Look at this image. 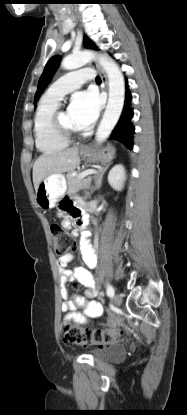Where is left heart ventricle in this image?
I'll return each mask as SVG.
<instances>
[{
	"label": "left heart ventricle",
	"mask_w": 187,
	"mask_h": 415,
	"mask_svg": "<svg viewBox=\"0 0 187 415\" xmlns=\"http://www.w3.org/2000/svg\"><path fill=\"white\" fill-rule=\"evenodd\" d=\"M60 120H61V122H62V124L65 126V127H67V128H69V129H72V130H79L74 124H73V122H72V120H71V118H70V116H69V114H68V111H62L61 113H60Z\"/></svg>",
	"instance_id": "obj_1"
}]
</instances>
